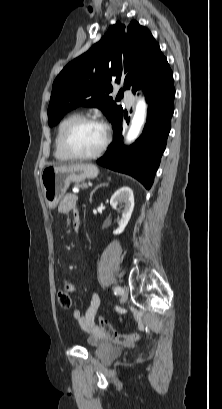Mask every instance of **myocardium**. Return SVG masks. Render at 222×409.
I'll return each instance as SVG.
<instances>
[{
  "instance_id": "obj_1",
  "label": "myocardium",
  "mask_w": 222,
  "mask_h": 409,
  "mask_svg": "<svg viewBox=\"0 0 222 409\" xmlns=\"http://www.w3.org/2000/svg\"><path fill=\"white\" fill-rule=\"evenodd\" d=\"M86 123H95L99 124L104 128L105 131V137L104 141L101 145V147L94 153L92 154H77L73 152L69 146V139L72 135V133L81 125L86 124ZM111 141V130L108 126V124L101 119L100 117L97 116H84L76 121H74L69 127L65 130L63 137H62V149L64 153L73 160H91V159H96L99 156L102 155V153L107 149Z\"/></svg>"
}]
</instances>
